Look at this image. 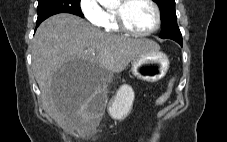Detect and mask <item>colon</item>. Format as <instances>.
<instances>
[{
  "label": "colon",
  "instance_id": "colon-1",
  "mask_svg": "<svg viewBox=\"0 0 227 142\" xmlns=\"http://www.w3.org/2000/svg\"><path fill=\"white\" fill-rule=\"evenodd\" d=\"M170 96V90L166 91L164 94H162L156 101V106H161L163 105L169 98Z\"/></svg>",
  "mask_w": 227,
  "mask_h": 142
}]
</instances>
